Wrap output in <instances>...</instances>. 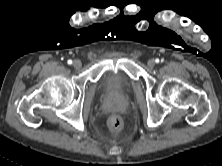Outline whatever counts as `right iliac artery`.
Returning <instances> with one entry per match:
<instances>
[{"mask_svg": "<svg viewBox=\"0 0 222 166\" xmlns=\"http://www.w3.org/2000/svg\"><path fill=\"white\" fill-rule=\"evenodd\" d=\"M67 62H68V64H72V60H68Z\"/></svg>", "mask_w": 222, "mask_h": 166, "instance_id": "obj_1", "label": "right iliac artery"}]
</instances>
